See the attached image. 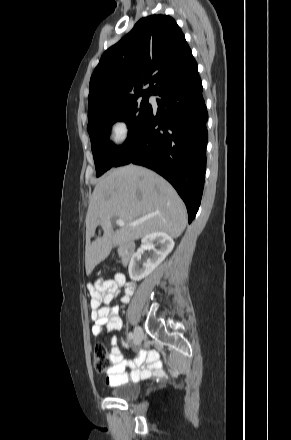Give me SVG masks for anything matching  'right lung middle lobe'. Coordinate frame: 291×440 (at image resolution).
Wrapping results in <instances>:
<instances>
[{"label": "right lung middle lobe", "mask_w": 291, "mask_h": 440, "mask_svg": "<svg viewBox=\"0 0 291 440\" xmlns=\"http://www.w3.org/2000/svg\"><path fill=\"white\" fill-rule=\"evenodd\" d=\"M149 95H137L125 100L101 104L88 111V132L95 161L96 176L113 167L120 152L134 131L143 123L152 106ZM124 121L128 126V138L123 146H114L109 140L111 126Z\"/></svg>", "instance_id": "obj_1"}]
</instances>
